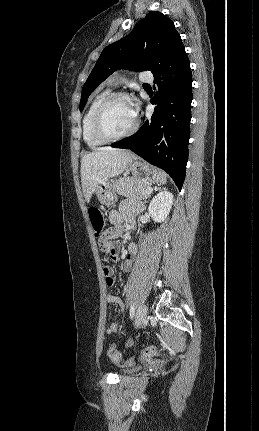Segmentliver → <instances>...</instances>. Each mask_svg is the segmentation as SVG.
Masks as SVG:
<instances>
[{
	"mask_svg": "<svg viewBox=\"0 0 259 431\" xmlns=\"http://www.w3.org/2000/svg\"><path fill=\"white\" fill-rule=\"evenodd\" d=\"M137 159L131 151L101 147L81 159V183L85 200L90 202L96 188L124 172L127 165Z\"/></svg>",
	"mask_w": 259,
	"mask_h": 431,
	"instance_id": "6515ba94",
	"label": "liver"
}]
</instances>
